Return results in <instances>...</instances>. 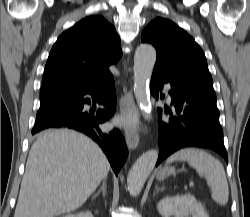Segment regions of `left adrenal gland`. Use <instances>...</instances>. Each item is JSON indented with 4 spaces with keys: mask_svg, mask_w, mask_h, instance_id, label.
<instances>
[{
    "mask_svg": "<svg viewBox=\"0 0 250 217\" xmlns=\"http://www.w3.org/2000/svg\"><path fill=\"white\" fill-rule=\"evenodd\" d=\"M164 189H165L164 186H162V187L156 186V187H155L154 196L157 194V192L162 191V190H164Z\"/></svg>",
    "mask_w": 250,
    "mask_h": 217,
    "instance_id": "1",
    "label": "left adrenal gland"
}]
</instances>
